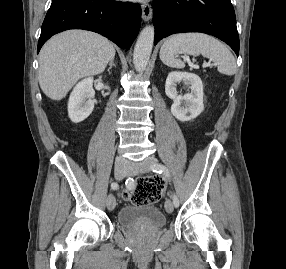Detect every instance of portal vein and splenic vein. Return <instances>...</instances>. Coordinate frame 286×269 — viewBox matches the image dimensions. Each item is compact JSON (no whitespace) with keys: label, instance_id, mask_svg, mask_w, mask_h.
Masks as SVG:
<instances>
[{"label":"portal vein and splenic vein","instance_id":"18ae733b","mask_svg":"<svg viewBox=\"0 0 286 269\" xmlns=\"http://www.w3.org/2000/svg\"><path fill=\"white\" fill-rule=\"evenodd\" d=\"M185 58L188 59V57H185ZM202 66H203V68H206V67L210 66V64L207 62H204Z\"/></svg>","mask_w":286,"mask_h":269}]
</instances>
